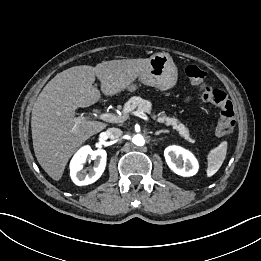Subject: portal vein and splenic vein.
<instances>
[{"label": "portal vein and splenic vein", "instance_id": "1", "mask_svg": "<svg viewBox=\"0 0 261 261\" xmlns=\"http://www.w3.org/2000/svg\"><path fill=\"white\" fill-rule=\"evenodd\" d=\"M133 115L138 116V117L144 119L145 121H149V117L143 112L135 111V112H133ZM99 118L103 121L110 122V123H119V122H123L125 120L124 116L121 117V116H117L112 113H102L99 115ZM82 119H83V117L79 116V117H76L74 119V121H75V123H79Z\"/></svg>", "mask_w": 261, "mask_h": 261}]
</instances>
